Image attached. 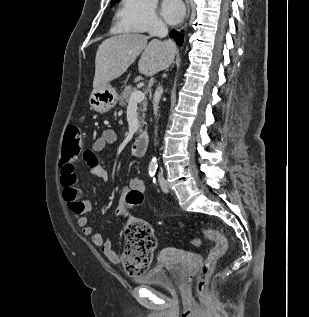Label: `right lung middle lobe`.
<instances>
[{"mask_svg":"<svg viewBox=\"0 0 309 317\" xmlns=\"http://www.w3.org/2000/svg\"><path fill=\"white\" fill-rule=\"evenodd\" d=\"M119 0H112L111 5H114L116 2H118Z\"/></svg>","mask_w":309,"mask_h":317,"instance_id":"right-lung-middle-lobe-1","label":"right lung middle lobe"}]
</instances>
